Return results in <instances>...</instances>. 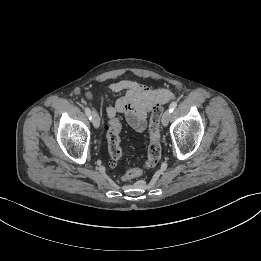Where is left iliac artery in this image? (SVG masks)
<instances>
[{
    "label": "left iliac artery",
    "instance_id": "left-iliac-artery-1",
    "mask_svg": "<svg viewBox=\"0 0 261 261\" xmlns=\"http://www.w3.org/2000/svg\"><path fill=\"white\" fill-rule=\"evenodd\" d=\"M177 107V102L173 101L170 105H169V111L170 113L173 112V110Z\"/></svg>",
    "mask_w": 261,
    "mask_h": 261
}]
</instances>
